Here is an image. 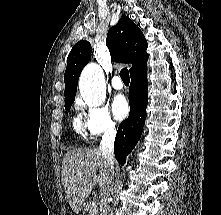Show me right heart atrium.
Listing matches in <instances>:
<instances>
[{"mask_svg":"<svg viewBox=\"0 0 221 215\" xmlns=\"http://www.w3.org/2000/svg\"><path fill=\"white\" fill-rule=\"evenodd\" d=\"M76 106L85 115L84 128L91 138L116 132L117 125L106 106L87 104L82 99L77 102Z\"/></svg>","mask_w":221,"mask_h":215,"instance_id":"right-heart-atrium-1","label":"right heart atrium"}]
</instances>
